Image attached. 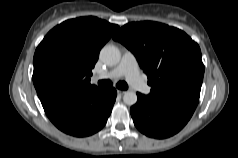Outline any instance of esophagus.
Instances as JSON below:
<instances>
[{"label":"esophagus","instance_id":"1","mask_svg":"<svg viewBox=\"0 0 238 158\" xmlns=\"http://www.w3.org/2000/svg\"><path fill=\"white\" fill-rule=\"evenodd\" d=\"M125 92H126V91H124V90H117V93H118L119 95H123V94H125Z\"/></svg>","mask_w":238,"mask_h":158}]
</instances>
